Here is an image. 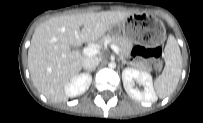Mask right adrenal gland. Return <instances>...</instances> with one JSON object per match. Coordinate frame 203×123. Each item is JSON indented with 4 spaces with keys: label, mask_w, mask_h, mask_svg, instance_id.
I'll return each mask as SVG.
<instances>
[{
    "label": "right adrenal gland",
    "mask_w": 203,
    "mask_h": 123,
    "mask_svg": "<svg viewBox=\"0 0 203 123\" xmlns=\"http://www.w3.org/2000/svg\"><path fill=\"white\" fill-rule=\"evenodd\" d=\"M89 72H92L93 70H88Z\"/></svg>",
    "instance_id": "1"
}]
</instances>
